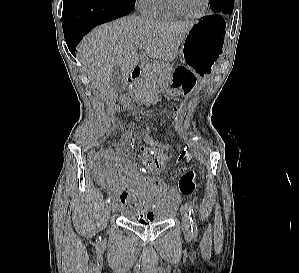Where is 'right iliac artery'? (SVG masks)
Returning <instances> with one entry per match:
<instances>
[{
	"mask_svg": "<svg viewBox=\"0 0 299 273\" xmlns=\"http://www.w3.org/2000/svg\"><path fill=\"white\" fill-rule=\"evenodd\" d=\"M113 200H114V197L111 196V197L108 199V202L111 203Z\"/></svg>",
	"mask_w": 299,
	"mask_h": 273,
	"instance_id": "right-iliac-artery-1",
	"label": "right iliac artery"
}]
</instances>
